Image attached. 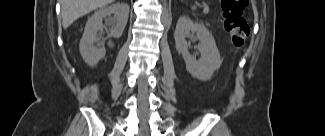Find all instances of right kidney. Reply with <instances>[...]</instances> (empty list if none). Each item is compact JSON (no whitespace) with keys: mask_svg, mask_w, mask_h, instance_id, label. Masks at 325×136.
I'll use <instances>...</instances> for the list:
<instances>
[{"mask_svg":"<svg viewBox=\"0 0 325 136\" xmlns=\"http://www.w3.org/2000/svg\"><path fill=\"white\" fill-rule=\"evenodd\" d=\"M129 9L126 3H115L101 7L88 19L79 50L89 66H95L106 54L104 42H99L97 39V33L103 27V19H106V24L111 26L110 36L120 38L128 20ZM112 14L114 16L110 17Z\"/></svg>","mask_w":325,"mask_h":136,"instance_id":"ca27d5eb","label":"right kidney"}]
</instances>
